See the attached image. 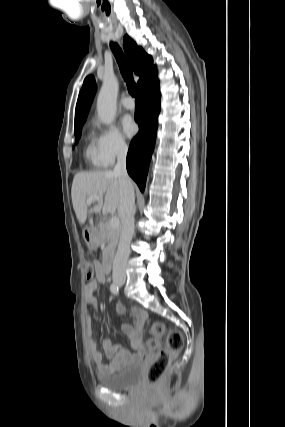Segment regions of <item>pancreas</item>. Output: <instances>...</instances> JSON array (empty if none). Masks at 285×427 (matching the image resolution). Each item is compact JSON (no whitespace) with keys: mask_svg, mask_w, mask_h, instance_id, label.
<instances>
[{"mask_svg":"<svg viewBox=\"0 0 285 427\" xmlns=\"http://www.w3.org/2000/svg\"><path fill=\"white\" fill-rule=\"evenodd\" d=\"M120 226L111 227L107 220L99 223V235L103 243L107 245V249H115L120 236Z\"/></svg>","mask_w":285,"mask_h":427,"instance_id":"pancreas-1","label":"pancreas"}]
</instances>
